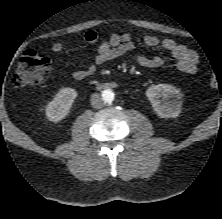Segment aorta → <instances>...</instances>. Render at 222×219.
Returning a JSON list of instances; mask_svg holds the SVG:
<instances>
[{"mask_svg": "<svg viewBox=\"0 0 222 219\" xmlns=\"http://www.w3.org/2000/svg\"><path fill=\"white\" fill-rule=\"evenodd\" d=\"M103 99L105 102H112L114 100V93L111 90H105L103 92Z\"/></svg>", "mask_w": 222, "mask_h": 219, "instance_id": "obj_1", "label": "aorta"}]
</instances>
